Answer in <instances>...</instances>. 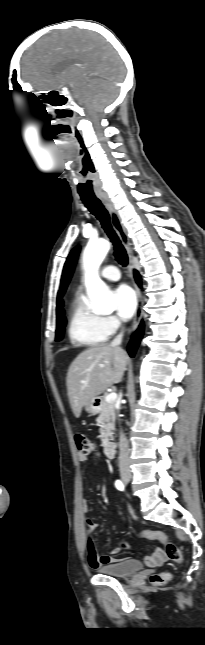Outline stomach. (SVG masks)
Returning a JSON list of instances; mask_svg holds the SVG:
<instances>
[{"label": "stomach", "instance_id": "1", "mask_svg": "<svg viewBox=\"0 0 205 645\" xmlns=\"http://www.w3.org/2000/svg\"><path fill=\"white\" fill-rule=\"evenodd\" d=\"M99 404H100V400H98V398H94L88 404L85 405V410L88 413L95 415L100 410Z\"/></svg>", "mask_w": 205, "mask_h": 645}]
</instances>
